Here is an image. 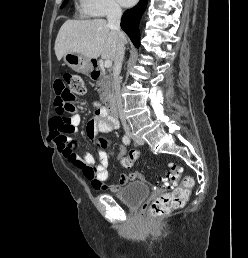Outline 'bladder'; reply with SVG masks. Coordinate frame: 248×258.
Masks as SVG:
<instances>
[{"instance_id": "obj_1", "label": "bladder", "mask_w": 248, "mask_h": 258, "mask_svg": "<svg viewBox=\"0 0 248 258\" xmlns=\"http://www.w3.org/2000/svg\"><path fill=\"white\" fill-rule=\"evenodd\" d=\"M149 195V188L143 182H134L126 185L114 194L123 204L129 208H137Z\"/></svg>"}]
</instances>
